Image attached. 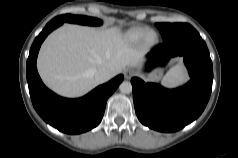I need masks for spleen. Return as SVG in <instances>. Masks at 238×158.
<instances>
[{
	"label": "spleen",
	"instance_id": "1",
	"mask_svg": "<svg viewBox=\"0 0 238 158\" xmlns=\"http://www.w3.org/2000/svg\"><path fill=\"white\" fill-rule=\"evenodd\" d=\"M188 79L186 72L180 64L173 66L163 77L161 83L165 87H173Z\"/></svg>",
	"mask_w": 238,
	"mask_h": 158
}]
</instances>
